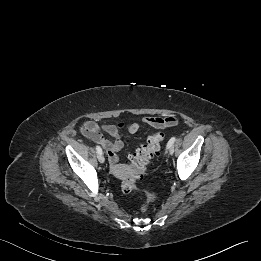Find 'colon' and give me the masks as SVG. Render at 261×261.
Masks as SVG:
<instances>
[{"mask_svg": "<svg viewBox=\"0 0 261 261\" xmlns=\"http://www.w3.org/2000/svg\"><path fill=\"white\" fill-rule=\"evenodd\" d=\"M164 133L157 132L147 138L146 144L138 149L132 156L130 165L127 169V175L121 181V190L124 194H134L138 191L136 180L146 173L148 165L152 158L158 155L160 145L164 140ZM116 174L122 172V168H114ZM146 202L142 206V211H146L149 204L156 199L154 192L145 191Z\"/></svg>", "mask_w": 261, "mask_h": 261, "instance_id": "1", "label": "colon"}]
</instances>
